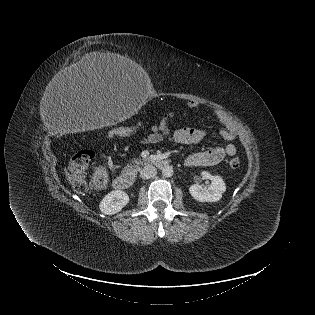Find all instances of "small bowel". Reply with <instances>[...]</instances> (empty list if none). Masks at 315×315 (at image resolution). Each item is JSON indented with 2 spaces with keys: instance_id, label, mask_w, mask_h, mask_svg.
I'll return each instance as SVG.
<instances>
[{
  "instance_id": "small-bowel-1",
  "label": "small bowel",
  "mask_w": 315,
  "mask_h": 315,
  "mask_svg": "<svg viewBox=\"0 0 315 315\" xmlns=\"http://www.w3.org/2000/svg\"><path fill=\"white\" fill-rule=\"evenodd\" d=\"M188 106L196 108L198 103L189 101ZM213 114L218 118L224 129L219 131V135L226 141L224 147H213L204 151H199L188 155L184 159L187 167L215 166L220 164L226 156H234L237 148L233 141L236 138V129L228 115L219 109H214ZM180 115L179 110H171L163 114L158 123L144 132L141 139L143 144H156L165 140H170L178 144H195L206 137L203 129L184 127L171 131L170 123Z\"/></svg>"
}]
</instances>
